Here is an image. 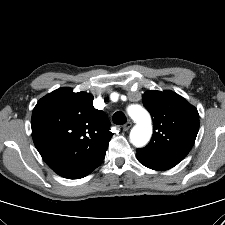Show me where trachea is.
Segmentation results:
<instances>
[{
  "label": "trachea",
  "instance_id": "1",
  "mask_svg": "<svg viewBox=\"0 0 225 225\" xmlns=\"http://www.w3.org/2000/svg\"><path fill=\"white\" fill-rule=\"evenodd\" d=\"M113 122L116 125H123L127 122V118L123 112L117 111L113 115Z\"/></svg>",
  "mask_w": 225,
  "mask_h": 225
}]
</instances>
